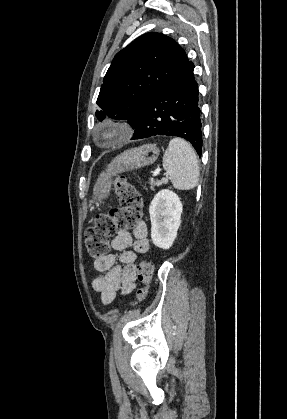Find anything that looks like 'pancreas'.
Returning <instances> with one entry per match:
<instances>
[{
  "mask_svg": "<svg viewBox=\"0 0 287 419\" xmlns=\"http://www.w3.org/2000/svg\"><path fill=\"white\" fill-rule=\"evenodd\" d=\"M162 183H166V182L159 181V180H154V179H150V181H149L151 190H154L155 186H161Z\"/></svg>",
  "mask_w": 287,
  "mask_h": 419,
  "instance_id": "pancreas-1",
  "label": "pancreas"
}]
</instances>
